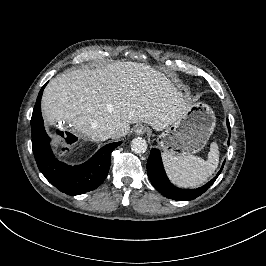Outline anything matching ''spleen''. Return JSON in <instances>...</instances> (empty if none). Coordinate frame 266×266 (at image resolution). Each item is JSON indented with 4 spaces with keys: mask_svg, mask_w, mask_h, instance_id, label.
I'll return each mask as SVG.
<instances>
[{
    "mask_svg": "<svg viewBox=\"0 0 266 266\" xmlns=\"http://www.w3.org/2000/svg\"><path fill=\"white\" fill-rule=\"evenodd\" d=\"M164 164L171 180L180 186H197L205 182V180L215 171L218 166V146L212 143L208 160L189 154V155H173L171 153H163Z\"/></svg>",
    "mask_w": 266,
    "mask_h": 266,
    "instance_id": "1",
    "label": "spleen"
}]
</instances>
